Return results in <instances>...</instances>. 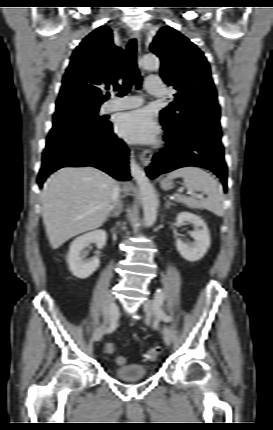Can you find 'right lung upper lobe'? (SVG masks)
<instances>
[{
  "instance_id": "cb5924a9",
  "label": "right lung upper lobe",
  "mask_w": 273,
  "mask_h": 430,
  "mask_svg": "<svg viewBox=\"0 0 273 430\" xmlns=\"http://www.w3.org/2000/svg\"><path fill=\"white\" fill-rule=\"evenodd\" d=\"M123 74V50L113 43L112 31L101 26L86 36L74 50L63 77L56 106L71 100L102 104L116 89Z\"/></svg>"
}]
</instances>
